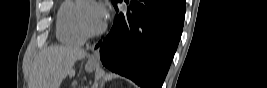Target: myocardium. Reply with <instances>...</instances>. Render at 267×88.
Listing matches in <instances>:
<instances>
[{
  "instance_id": "myocardium-1",
  "label": "myocardium",
  "mask_w": 267,
  "mask_h": 88,
  "mask_svg": "<svg viewBox=\"0 0 267 88\" xmlns=\"http://www.w3.org/2000/svg\"><path fill=\"white\" fill-rule=\"evenodd\" d=\"M82 7L81 5H78V23H79V26H80V29L82 31V33L86 36V37H92V36H97V35H100L101 33L104 32L106 26L105 25H102L101 27H99L98 29H91L89 28L84 19H83V16H82Z\"/></svg>"
}]
</instances>
